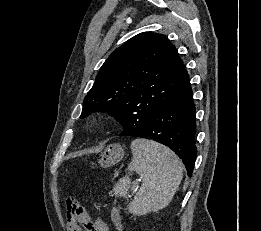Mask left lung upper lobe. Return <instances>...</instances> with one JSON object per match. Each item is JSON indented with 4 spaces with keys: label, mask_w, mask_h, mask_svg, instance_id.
<instances>
[{
    "label": "left lung upper lobe",
    "mask_w": 261,
    "mask_h": 231,
    "mask_svg": "<svg viewBox=\"0 0 261 231\" xmlns=\"http://www.w3.org/2000/svg\"><path fill=\"white\" fill-rule=\"evenodd\" d=\"M188 83V73L170 41L162 34L141 33L104 62L84 99L81 118L103 111L124 130L142 128Z\"/></svg>",
    "instance_id": "5c2ea615"
}]
</instances>
